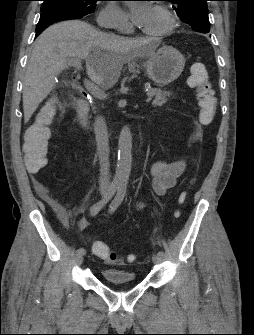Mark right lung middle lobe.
Wrapping results in <instances>:
<instances>
[{
  "label": "right lung middle lobe",
  "instance_id": "obj_1",
  "mask_svg": "<svg viewBox=\"0 0 254 335\" xmlns=\"http://www.w3.org/2000/svg\"><path fill=\"white\" fill-rule=\"evenodd\" d=\"M97 1L99 0H43L41 12L49 9H65L85 16L95 10Z\"/></svg>",
  "mask_w": 254,
  "mask_h": 335
}]
</instances>
